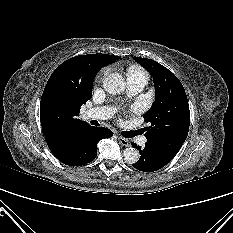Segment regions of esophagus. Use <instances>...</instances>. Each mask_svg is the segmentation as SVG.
Listing matches in <instances>:
<instances>
[{"label": "esophagus", "mask_w": 233, "mask_h": 233, "mask_svg": "<svg viewBox=\"0 0 233 233\" xmlns=\"http://www.w3.org/2000/svg\"><path fill=\"white\" fill-rule=\"evenodd\" d=\"M118 141L122 146L129 147L130 146V141L124 137L119 136Z\"/></svg>", "instance_id": "1"}]
</instances>
